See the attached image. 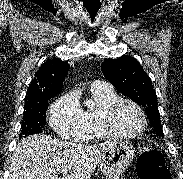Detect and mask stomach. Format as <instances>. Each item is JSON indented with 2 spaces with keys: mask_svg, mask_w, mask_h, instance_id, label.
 Instances as JSON below:
<instances>
[{
  "mask_svg": "<svg viewBox=\"0 0 183 179\" xmlns=\"http://www.w3.org/2000/svg\"><path fill=\"white\" fill-rule=\"evenodd\" d=\"M135 148L126 141L114 142L104 153L99 166L106 179H120L135 156Z\"/></svg>",
  "mask_w": 183,
  "mask_h": 179,
  "instance_id": "obj_1",
  "label": "stomach"
}]
</instances>
